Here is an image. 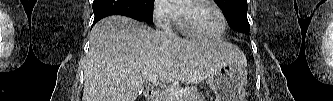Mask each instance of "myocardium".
<instances>
[{
	"label": "myocardium",
	"mask_w": 333,
	"mask_h": 101,
	"mask_svg": "<svg viewBox=\"0 0 333 101\" xmlns=\"http://www.w3.org/2000/svg\"><path fill=\"white\" fill-rule=\"evenodd\" d=\"M199 3H207V4L211 5L218 12V14L221 18V21H222V28L219 33L214 34V35H207V34L199 32L198 30H196L193 27L191 20L189 18L188 9L190 7H192L193 5H196ZM180 13H181L182 26H183L184 30L192 36H195L198 38H203V39H219L227 31L228 23H227L226 16H225L223 10L214 1H211V0L182 1L180 4Z\"/></svg>",
	"instance_id": "1"
}]
</instances>
